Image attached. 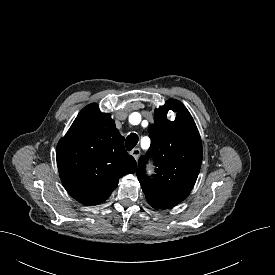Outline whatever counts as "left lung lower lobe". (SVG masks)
<instances>
[{"label": "left lung lower lobe", "instance_id": "left-lung-lower-lobe-1", "mask_svg": "<svg viewBox=\"0 0 275 275\" xmlns=\"http://www.w3.org/2000/svg\"><path fill=\"white\" fill-rule=\"evenodd\" d=\"M148 203L156 209H168L176 206L181 201L170 200V199H156L153 197L146 196Z\"/></svg>", "mask_w": 275, "mask_h": 275}]
</instances>
